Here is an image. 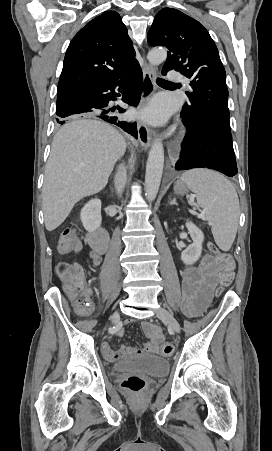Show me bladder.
Masks as SVG:
<instances>
[{
    "instance_id": "31cf9c89",
    "label": "bladder",
    "mask_w": 272,
    "mask_h": 451,
    "mask_svg": "<svg viewBox=\"0 0 272 451\" xmlns=\"http://www.w3.org/2000/svg\"><path fill=\"white\" fill-rule=\"evenodd\" d=\"M114 373L133 371L150 376L162 377L168 373V359L155 354L135 355L119 359L112 365Z\"/></svg>"
}]
</instances>
